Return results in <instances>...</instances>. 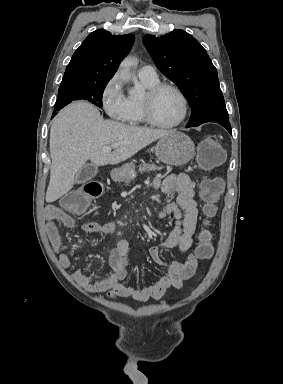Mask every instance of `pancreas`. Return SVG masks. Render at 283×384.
Wrapping results in <instances>:
<instances>
[{
  "label": "pancreas",
  "instance_id": "1",
  "mask_svg": "<svg viewBox=\"0 0 283 384\" xmlns=\"http://www.w3.org/2000/svg\"><path fill=\"white\" fill-rule=\"evenodd\" d=\"M162 168L163 166L158 168L155 164H142V166H139V172H154V170H162Z\"/></svg>",
  "mask_w": 283,
  "mask_h": 384
}]
</instances>
